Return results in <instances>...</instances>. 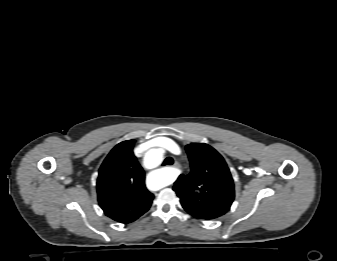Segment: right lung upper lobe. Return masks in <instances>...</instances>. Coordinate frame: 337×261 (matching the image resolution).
Returning a JSON list of instances; mask_svg holds the SVG:
<instances>
[{
  "label": "right lung upper lobe",
  "instance_id": "right-lung-upper-lobe-1",
  "mask_svg": "<svg viewBox=\"0 0 337 261\" xmlns=\"http://www.w3.org/2000/svg\"><path fill=\"white\" fill-rule=\"evenodd\" d=\"M134 143L127 140L116 145L102 163L97 179L100 207L121 223L138 219L154 198L145 187V173L133 154Z\"/></svg>",
  "mask_w": 337,
  "mask_h": 261
}]
</instances>
